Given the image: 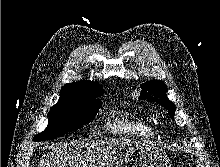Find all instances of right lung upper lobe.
<instances>
[{
    "label": "right lung upper lobe",
    "mask_w": 220,
    "mask_h": 167,
    "mask_svg": "<svg viewBox=\"0 0 220 167\" xmlns=\"http://www.w3.org/2000/svg\"><path fill=\"white\" fill-rule=\"evenodd\" d=\"M103 93L102 87L97 82L82 80L75 83H68L63 86L59 101L96 98Z\"/></svg>",
    "instance_id": "obj_1"
}]
</instances>
